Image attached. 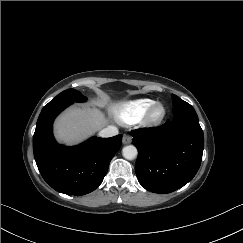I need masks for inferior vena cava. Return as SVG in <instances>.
Listing matches in <instances>:
<instances>
[{
    "label": "inferior vena cava",
    "instance_id": "602c4592",
    "mask_svg": "<svg viewBox=\"0 0 243 243\" xmlns=\"http://www.w3.org/2000/svg\"><path fill=\"white\" fill-rule=\"evenodd\" d=\"M118 135V129L115 126H107L99 132L100 137H113Z\"/></svg>",
    "mask_w": 243,
    "mask_h": 243
}]
</instances>
